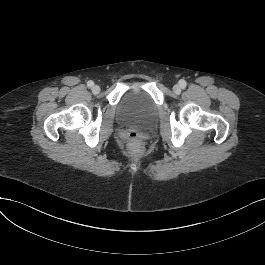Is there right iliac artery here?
<instances>
[{
    "label": "right iliac artery",
    "mask_w": 265,
    "mask_h": 265,
    "mask_svg": "<svg viewBox=\"0 0 265 265\" xmlns=\"http://www.w3.org/2000/svg\"><path fill=\"white\" fill-rule=\"evenodd\" d=\"M93 85H94V82L93 81L90 80V81L87 82V86L88 87L91 88V87H93Z\"/></svg>",
    "instance_id": "obj_1"
}]
</instances>
